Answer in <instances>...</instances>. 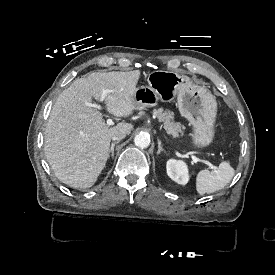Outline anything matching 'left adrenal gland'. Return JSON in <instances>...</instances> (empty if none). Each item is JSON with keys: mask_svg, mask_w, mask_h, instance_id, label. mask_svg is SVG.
I'll use <instances>...</instances> for the list:
<instances>
[{"mask_svg": "<svg viewBox=\"0 0 275 275\" xmlns=\"http://www.w3.org/2000/svg\"><path fill=\"white\" fill-rule=\"evenodd\" d=\"M161 151H164V152H165V150H164L163 147L161 146V141L158 139V150H157V155H159Z\"/></svg>", "mask_w": 275, "mask_h": 275, "instance_id": "1", "label": "left adrenal gland"}]
</instances>
